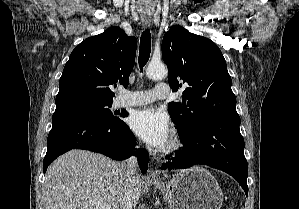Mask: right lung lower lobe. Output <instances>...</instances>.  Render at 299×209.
I'll return each mask as SVG.
<instances>
[{"label":"right lung lower lobe","instance_id":"right-lung-lower-lobe-1","mask_svg":"<svg viewBox=\"0 0 299 209\" xmlns=\"http://www.w3.org/2000/svg\"><path fill=\"white\" fill-rule=\"evenodd\" d=\"M52 123L43 161L44 173L58 156L72 149L102 153L115 160H124L135 154L142 173H146L149 155L143 149L132 152L135 137L122 120L110 124L74 110L58 109L53 114Z\"/></svg>","mask_w":299,"mask_h":209}]
</instances>
